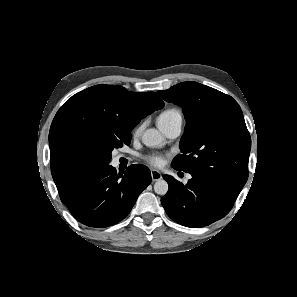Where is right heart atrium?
Listing matches in <instances>:
<instances>
[{
    "label": "right heart atrium",
    "mask_w": 297,
    "mask_h": 297,
    "mask_svg": "<svg viewBox=\"0 0 297 297\" xmlns=\"http://www.w3.org/2000/svg\"><path fill=\"white\" fill-rule=\"evenodd\" d=\"M142 128H143V125H142V124L137 125V126L135 127L134 131H133V134H134L135 136H138V135L141 133Z\"/></svg>",
    "instance_id": "right-heart-atrium-1"
}]
</instances>
